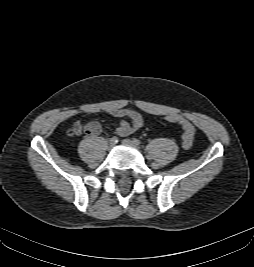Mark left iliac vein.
<instances>
[{
	"instance_id": "4c4485c4",
	"label": "left iliac vein",
	"mask_w": 254,
	"mask_h": 267,
	"mask_svg": "<svg viewBox=\"0 0 254 267\" xmlns=\"http://www.w3.org/2000/svg\"><path fill=\"white\" fill-rule=\"evenodd\" d=\"M122 143L124 144V145H127V146H132V147H135L136 145L134 144V142L132 141V140H130V139H124L123 141H122Z\"/></svg>"
}]
</instances>
